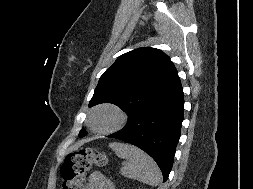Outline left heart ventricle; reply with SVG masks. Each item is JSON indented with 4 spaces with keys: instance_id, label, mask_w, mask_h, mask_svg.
Listing matches in <instances>:
<instances>
[{
    "instance_id": "1",
    "label": "left heart ventricle",
    "mask_w": 253,
    "mask_h": 189,
    "mask_svg": "<svg viewBox=\"0 0 253 189\" xmlns=\"http://www.w3.org/2000/svg\"><path fill=\"white\" fill-rule=\"evenodd\" d=\"M115 115L108 110L97 113L93 119L94 127L97 129H107L115 123Z\"/></svg>"
}]
</instances>
